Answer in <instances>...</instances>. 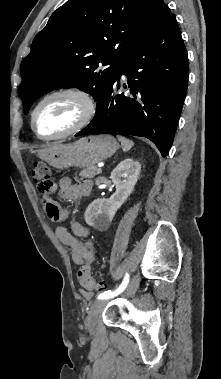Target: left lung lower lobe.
<instances>
[{"mask_svg": "<svg viewBox=\"0 0 221 379\" xmlns=\"http://www.w3.org/2000/svg\"><path fill=\"white\" fill-rule=\"evenodd\" d=\"M126 75L129 93H117ZM188 85V56L176 18L165 4L152 29L127 53L106 82L96 115L75 136L104 131L142 136L166 156Z\"/></svg>", "mask_w": 221, "mask_h": 379, "instance_id": "left-lung-lower-lobe-1", "label": "left lung lower lobe"}]
</instances>
